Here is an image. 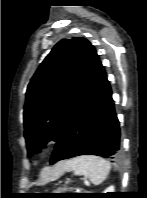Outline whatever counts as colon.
I'll list each match as a JSON object with an SVG mask.
<instances>
[{
    "label": "colon",
    "mask_w": 147,
    "mask_h": 198,
    "mask_svg": "<svg viewBox=\"0 0 147 198\" xmlns=\"http://www.w3.org/2000/svg\"><path fill=\"white\" fill-rule=\"evenodd\" d=\"M62 190H79L77 188H72V187H63L61 188Z\"/></svg>",
    "instance_id": "colon-1"
}]
</instances>
